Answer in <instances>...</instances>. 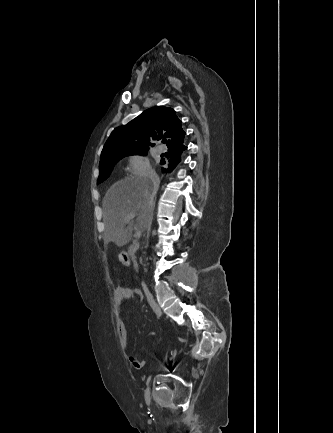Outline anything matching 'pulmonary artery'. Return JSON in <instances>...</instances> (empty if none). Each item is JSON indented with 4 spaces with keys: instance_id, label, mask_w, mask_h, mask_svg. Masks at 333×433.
<instances>
[{
    "instance_id": "obj_1",
    "label": "pulmonary artery",
    "mask_w": 333,
    "mask_h": 433,
    "mask_svg": "<svg viewBox=\"0 0 333 433\" xmlns=\"http://www.w3.org/2000/svg\"><path fill=\"white\" fill-rule=\"evenodd\" d=\"M165 150H164V147L163 146H159L158 147V152L159 153H163Z\"/></svg>"
}]
</instances>
